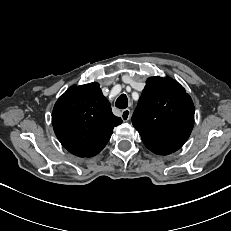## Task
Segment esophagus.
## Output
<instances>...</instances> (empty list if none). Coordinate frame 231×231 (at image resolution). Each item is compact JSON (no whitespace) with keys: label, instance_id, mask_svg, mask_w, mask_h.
Instances as JSON below:
<instances>
[{"label":"esophagus","instance_id":"esophagus-1","mask_svg":"<svg viewBox=\"0 0 231 231\" xmlns=\"http://www.w3.org/2000/svg\"><path fill=\"white\" fill-rule=\"evenodd\" d=\"M130 115H131L130 109H124L121 112V118L123 121H128L130 119Z\"/></svg>","mask_w":231,"mask_h":231}]
</instances>
